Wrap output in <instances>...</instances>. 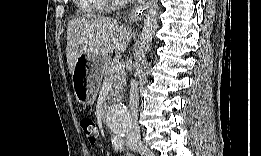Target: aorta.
Here are the masks:
<instances>
[{
    "instance_id": "762f6f07",
    "label": "aorta",
    "mask_w": 261,
    "mask_h": 156,
    "mask_svg": "<svg viewBox=\"0 0 261 156\" xmlns=\"http://www.w3.org/2000/svg\"><path fill=\"white\" fill-rule=\"evenodd\" d=\"M158 22V5L156 2L150 7L144 20L140 36V48L144 51L150 49ZM107 125L111 132L118 137L124 136L131 129L132 117L123 104L113 105L107 112Z\"/></svg>"
}]
</instances>
